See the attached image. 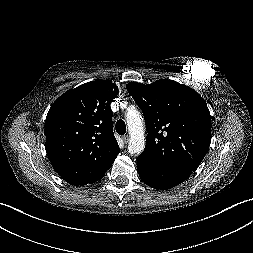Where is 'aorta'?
Instances as JSON below:
<instances>
[{"mask_svg":"<svg viewBox=\"0 0 253 253\" xmlns=\"http://www.w3.org/2000/svg\"><path fill=\"white\" fill-rule=\"evenodd\" d=\"M127 125L130 135L128 152L130 154H140L145 147V136L141 115L133 110L127 114Z\"/></svg>","mask_w":253,"mask_h":253,"instance_id":"1","label":"aorta"}]
</instances>
